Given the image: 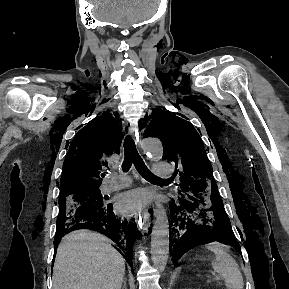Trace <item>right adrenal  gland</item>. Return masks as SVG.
<instances>
[{
	"label": "right adrenal gland",
	"instance_id": "obj_1",
	"mask_svg": "<svg viewBox=\"0 0 289 289\" xmlns=\"http://www.w3.org/2000/svg\"><path fill=\"white\" fill-rule=\"evenodd\" d=\"M122 289H127V287H126V278H124V280H123V286H122Z\"/></svg>",
	"mask_w": 289,
	"mask_h": 289
}]
</instances>
